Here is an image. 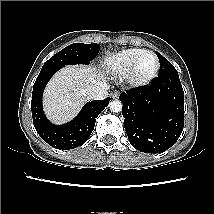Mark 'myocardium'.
Listing matches in <instances>:
<instances>
[{
	"label": "myocardium",
	"mask_w": 214,
	"mask_h": 214,
	"mask_svg": "<svg viewBox=\"0 0 214 214\" xmlns=\"http://www.w3.org/2000/svg\"><path fill=\"white\" fill-rule=\"evenodd\" d=\"M148 54L152 55L155 58V60H156L155 68L153 69V71L150 74H148L146 76H140L137 73L139 63H140L141 59L145 55H148ZM159 69H160V61H159V58L156 55V53L153 51L145 50L131 65L130 69L127 72V80L129 82V84L133 87H144L155 79V77L157 76V74L159 72Z\"/></svg>",
	"instance_id": "myocardium-1"
}]
</instances>
